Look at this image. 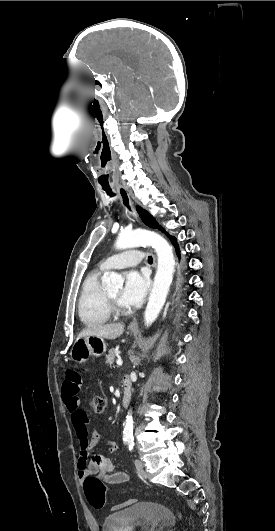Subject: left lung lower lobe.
<instances>
[{"mask_svg":"<svg viewBox=\"0 0 275 531\" xmlns=\"http://www.w3.org/2000/svg\"><path fill=\"white\" fill-rule=\"evenodd\" d=\"M168 237L170 238L172 244L174 245V247L176 249V253H177L178 259L181 261L182 270H184V268L186 267V260L180 253V249H179L178 244H177V239L174 236H169L168 235ZM183 287H184V280L182 279L181 283L179 285V290L181 291L183 289ZM180 300H181V293H179V295L177 296L176 303L180 302Z\"/></svg>","mask_w":275,"mask_h":531,"instance_id":"left-lung-lower-lobe-1","label":"left lung lower lobe"}]
</instances>
